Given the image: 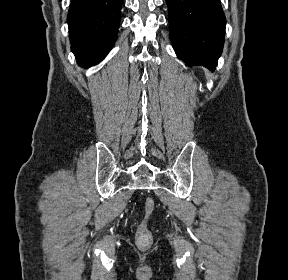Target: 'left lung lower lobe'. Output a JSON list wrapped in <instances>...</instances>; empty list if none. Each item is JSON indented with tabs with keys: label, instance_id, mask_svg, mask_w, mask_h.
Segmentation results:
<instances>
[{
	"label": "left lung lower lobe",
	"instance_id": "0a47b994",
	"mask_svg": "<svg viewBox=\"0 0 288 280\" xmlns=\"http://www.w3.org/2000/svg\"><path fill=\"white\" fill-rule=\"evenodd\" d=\"M170 39L179 59L214 70L226 19L219 0H166Z\"/></svg>",
	"mask_w": 288,
	"mask_h": 280
}]
</instances>
